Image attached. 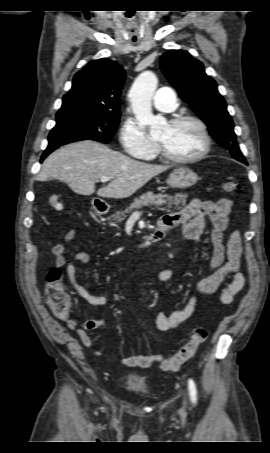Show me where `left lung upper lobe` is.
Wrapping results in <instances>:
<instances>
[{
  "label": "left lung upper lobe",
  "instance_id": "obj_1",
  "mask_svg": "<svg viewBox=\"0 0 270 453\" xmlns=\"http://www.w3.org/2000/svg\"><path fill=\"white\" fill-rule=\"evenodd\" d=\"M160 66L181 98L208 125L210 135L235 159L247 164L236 141L226 102L217 90V83L205 73L203 64L187 51L170 50L161 56Z\"/></svg>",
  "mask_w": 270,
  "mask_h": 453
}]
</instances>
